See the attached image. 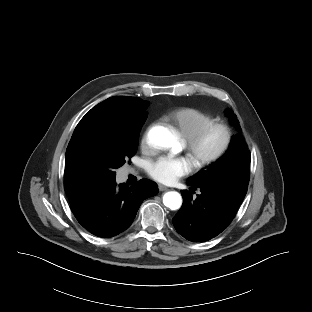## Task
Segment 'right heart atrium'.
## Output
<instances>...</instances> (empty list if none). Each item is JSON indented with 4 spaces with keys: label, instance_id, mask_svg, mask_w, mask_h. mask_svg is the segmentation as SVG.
Segmentation results:
<instances>
[{
    "label": "right heart atrium",
    "instance_id": "obj_1",
    "mask_svg": "<svg viewBox=\"0 0 312 312\" xmlns=\"http://www.w3.org/2000/svg\"><path fill=\"white\" fill-rule=\"evenodd\" d=\"M141 144L143 148H147V133L143 135Z\"/></svg>",
    "mask_w": 312,
    "mask_h": 312
}]
</instances>
